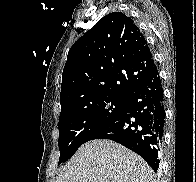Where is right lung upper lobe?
Returning a JSON list of instances; mask_svg holds the SVG:
<instances>
[{
    "mask_svg": "<svg viewBox=\"0 0 196 182\" xmlns=\"http://www.w3.org/2000/svg\"><path fill=\"white\" fill-rule=\"evenodd\" d=\"M155 67L133 20L112 12L70 48L62 74L61 112L99 97L127 98Z\"/></svg>",
    "mask_w": 196,
    "mask_h": 182,
    "instance_id": "right-lung-upper-lobe-1",
    "label": "right lung upper lobe"
}]
</instances>
